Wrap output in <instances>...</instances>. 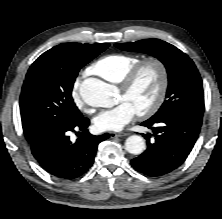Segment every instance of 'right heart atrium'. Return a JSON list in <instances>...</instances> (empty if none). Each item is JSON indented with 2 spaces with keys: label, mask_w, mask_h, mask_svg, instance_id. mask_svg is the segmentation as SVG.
Wrapping results in <instances>:
<instances>
[{
  "label": "right heart atrium",
  "mask_w": 222,
  "mask_h": 219,
  "mask_svg": "<svg viewBox=\"0 0 222 219\" xmlns=\"http://www.w3.org/2000/svg\"><path fill=\"white\" fill-rule=\"evenodd\" d=\"M73 98H74V101L76 102V104L78 106L82 107L86 112H90L89 109L84 108V105L86 103V99L81 94V92L79 90V81L78 80H76L75 86H74V89H73Z\"/></svg>",
  "instance_id": "right-heart-atrium-1"
}]
</instances>
